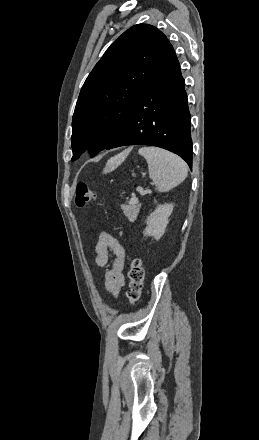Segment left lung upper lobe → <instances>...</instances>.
I'll use <instances>...</instances> for the list:
<instances>
[{"mask_svg": "<svg viewBox=\"0 0 259 440\" xmlns=\"http://www.w3.org/2000/svg\"><path fill=\"white\" fill-rule=\"evenodd\" d=\"M167 41L156 27L137 24L107 49L79 94L72 120V160L88 147L96 155L116 139Z\"/></svg>", "mask_w": 259, "mask_h": 440, "instance_id": "1", "label": "left lung upper lobe"}]
</instances>
